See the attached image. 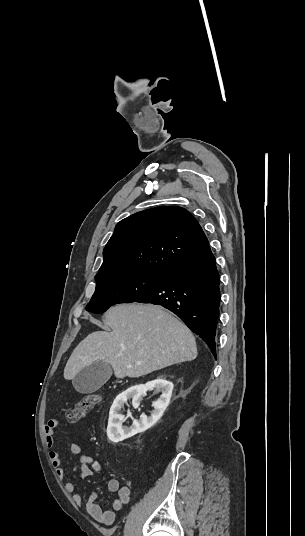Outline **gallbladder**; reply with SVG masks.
I'll use <instances>...</instances> for the list:
<instances>
[{"label":"gallbladder","instance_id":"bac80fb5","mask_svg":"<svg viewBox=\"0 0 305 536\" xmlns=\"http://www.w3.org/2000/svg\"><path fill=\"white\" fill-rule=\"evenodd\" d=\"M112 376V370L106 362H94L90 366L83 368L75 378L72 384L76 392L80 394H92L104 386Z\"/></svg>","mask_w":305,"mask_h":536}]
</instances>
